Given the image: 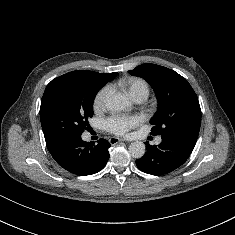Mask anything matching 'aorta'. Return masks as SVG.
I'll return each instance as SVG.
<instances>
[{"instance_id": "aorta-1", "label": "aorta", "mask_w": 235, "mask_h": 235, "mask_svg": "<svg viewBox=\"0 0 235 235\" xmlns=\"http://www.w3.org/2000/svg\"><path fill=\"white\" fill-rule=\"evenodd\" d=\"M129 105L126 98L119 94H110L105 99V106L111 112L124 110ZM146 146L141 141L132 142L129 146V153L133 158H142L145 154Z\"/></svg>"}]
</instances>
